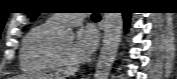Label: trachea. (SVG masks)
Masks as SVG:
<instances>
[{
	"instance_id": "trachea-1",
	"label": "trachea",
	"mask_w": 177,
	"mask_h": 79,
	"mask_svg": "<svg viewBox=\"0 0 177 79\" xmlns=\"http://www.w3.org/2000/svg\"><path fill=\"white\" fill-rule=\"evenodd\" d=\"M92 20L98 21V20H100V16L98 14H93L92 15Z\"/></svg>"
}]
</instances>
